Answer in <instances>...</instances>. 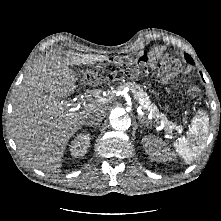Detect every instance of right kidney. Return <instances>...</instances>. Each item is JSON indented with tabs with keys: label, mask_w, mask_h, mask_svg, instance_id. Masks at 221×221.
Masks as SVG:
<instances>
[{
	"label": "right kidney",
	"mask_w": 221,
	"mask_h": 221,
	"mask_svg": "<svg viewBox=\"0 0 221 221\" xmlns=\"http://www.w3.org/2000/svg\"><path fill=\"white\" fill-rule=\"evenodd\" d=\"M90 145V135L88 133L79 134L70 144V152L74 157H81Z\"/></svg>",
	"instance_id": "1"
}]
</instances>
